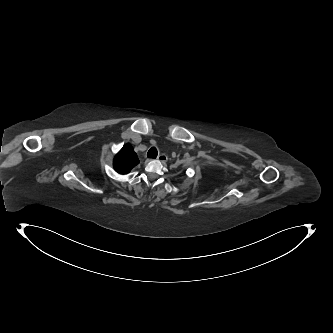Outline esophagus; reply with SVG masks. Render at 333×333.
Listing matches in <instances>:
<instances>
[{
  "mask_svg": "<svg viewBox=\"0 0 333 333\" xmlns=\"http://www.w3.org/2000/svg\"><path fill=\"white\" fill-rule=\"evenodd\" d=\"M157 160L158 161H161V162H166L167 161V156L165 154H160L158 157H157Z\"/></svg>",
  "mask_w": 333,
  "mask_h": 333,
  "instance_id": "34e87169",
  "label": "esophagus"
}]
</instances>
